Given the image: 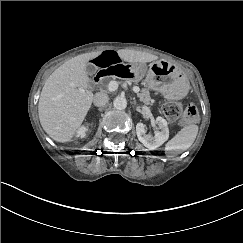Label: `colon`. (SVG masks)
Returning a JSON list of instances; mask_svg holds the SVG:
<instances>
[{
    "mask_svg": "<svg viewBox=\"0 0 243 243\" xmlns=\"http://www.w3.org/2000/svg\"><path fill=\"white\" fill-rule=\"evenodd\" d=\"M163 114L170 120L180 119L182 126L194 124L198 121V111L196 107L184 108L178 101H167L162 107Z\"/></svg>",
    "mask_w": 243,
    "mask_h": 243,
    "instance_id": "1",
    "label": "colon"
}]
</instances>
